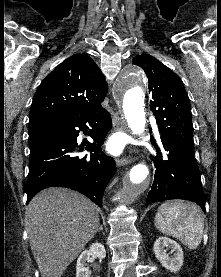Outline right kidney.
<instances>
[{
    "label": "right kidney",
    "mask_w": 221,
    "mask_h": 277,
    "mask_svg": "<svg viewBox=\"0 0 221 277\" xmlns=\"http://www.w3.org/2000/svg\"><path fill=\"white\" fill-rule=\"evenodd\" d=\"M90 256L104 259L106 257V250L101 243H94L90 246L89 250H85L81 253L77 260L76 265V277H90L89 269L85 266L86 261L89 260Z\"/></svg>",
    "instance_id": "1"
}]
</instances>
